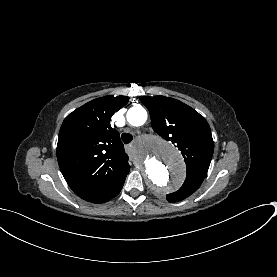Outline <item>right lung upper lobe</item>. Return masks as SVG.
<instances>
[{
    "instance_id": "obj_1",
    "label": "right lung upper lobe",
    "mask_w": 277,
    "mask_h": 277,
    "mask_svg": "<svg viewBox=\"0 0 277 277\" xmlns=\"http://www.w3.org/2000/svg\"><path fill=\"white\" fill-rule=\"evenodd\" d=\"M127 96L94 99L70 113L62 123L57 159L70 188L92 203L109 201L122 188L130 170L120 134L110 126L111 116L125 106ZM92 163V169L72 170L76 162ZM99 168H111L109 176H96Z\"/></svg>"
}]
</instances>
